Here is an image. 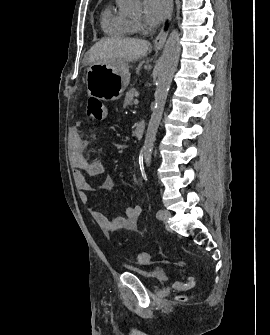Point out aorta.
<instances>
[{
	"label": "aorta",
	"mask_w": 270,
	"mask_h": 335,
	"mask_svg": "<svg viewBox=\"0 0 270 335\" xmlns=\"http://www.w3.org/2000/svg\"><path fill=\"white\" fill-rule=\"evenodd\" d=\"M180 36L177 30L171 32L160 58L156 80V92L154 94V104L152 108V116L148 124L144 146L142 148L145 164L150 166L152 152L159 124L161 122L165 102L170 90L172 78L177 68L180 56Z\"/></svg>",
	"instance_id": "obj_1"
}]
</instances>
